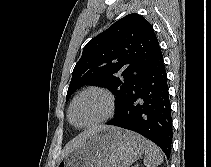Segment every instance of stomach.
<instances>
[{
    "label": "stomach",
    "mask_w": 211,
    "mask_h": 167,
    "mask_svg": "<svg viewBox=\"0 0 211 167\" xmlns=\"http://www.w3.org/2000/svg\"><path fill=\"white\" fill-rule=\"evenodd\" d=\"M145 143L134 132L108 126L91 133L57 167H129L142 156Z\"/></svg>",
    "instance_id": "obj_1"
}]
</instances>
